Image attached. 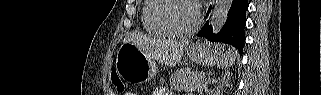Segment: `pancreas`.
I'll return each mask as SVG.
<instances>
[{"instance_id": "cf45deb5", "label": "pancreas", "mask_w": 321, "mask_h": 95, "mask_svg": "<svg viewBox=\"0 0 321 95\" xmlns=\"http://www.w3.org/2000/svg\"><path fill=\"white\" fill-rule=\"evenodd\" d=\"M212 80L200 73H189L186 70L177 71L170 77L171 89L198 92L207 91Z\"/></svg>"}]
</instances>
